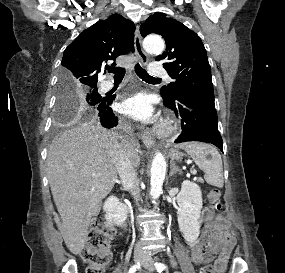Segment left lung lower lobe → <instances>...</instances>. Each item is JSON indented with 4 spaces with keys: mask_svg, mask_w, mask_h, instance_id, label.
<instances>
[{
    "mask_svg": "<svg viewBox=\"0 0 285 273\" xmlns=\"http://www.w3.org/2000/svg\"><path fill=\"white\" fill-rule=\"evenodd\" d=\"M163 102L181 117L183 131L176 143L198 140L211 143L223 151L214 95H183L174 100L163 97Z\"/></svg>",
    "mask_w": 285,
    "mask_h": 273,
    "instance_id": "0a47b994",
    "label": "left lung lower lobe"
}]
</instances>
